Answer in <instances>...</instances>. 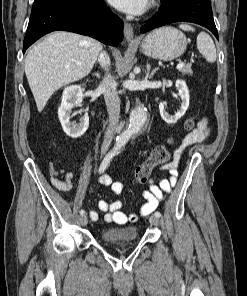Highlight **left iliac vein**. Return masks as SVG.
Returning a JSON list of instances; mask_svg holds the SVG:
<instances>
[{
    "label": "left iliac vein",
    "mask_w": 247,
    "mask_h": 296,
    "mask_svg": "<svg viewBox=\"0 0 247 296\" xmlns=\"http://www.w3.org/2000/svg\"><path fill=\"white\" fill-rule=\"evenodd\" d=\"M149 222L152 224V225H159L160 223V219L159 217L155 216V215H152L149 217Z\"/></svg>",
    "instance_id": "4c4485c4"
}]
</instances>
